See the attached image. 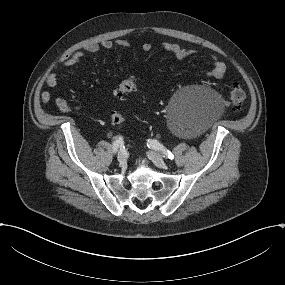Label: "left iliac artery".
Masks as SVG:
<instances>
[{
    "instance_id": "44dca946",
    "label": "left iliac artery",
    "mask_w": 285,
    "mask_h": 285,
    "mask_svg": "<svg viewBox=\"0 0 285 285\" xmlns=\"http://www.w3.org/2000/svg\"><path fill=\"white\" fill-rule=\"evenodd\" d=\"M147 141H148L147 146L149 148H152L156 151L161 152L163 154V157H166L170 160L174 159V155L166 147H164L161 143H159L157 140L148 139Z\"/></svg>"
}]
</instances>
